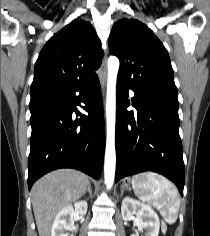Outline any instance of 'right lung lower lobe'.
I'll return each instance as SVG.
<instances>
[{
    "mask_svg": "<svg viewBox=\"0 0 210 236\" xmlns=\"http://www.w3.org/2000/svg\"><path fill=\"white\" fill-rule=\"evenodd\" d=\"M79 92V95H76ZM85 103L81 114L76 105ZM31 111V149L28 188L44 174L58 168H75L98 179L102 172L105 131L98 76ZM75 112L80 119L73 120Z\"/></svg>",
    "mask_w": 210,
    "mask_h": 236,
    "instance_id": "obj_1",
    "label": "right lung lower lobe"
}]
</instances>
